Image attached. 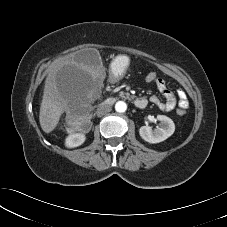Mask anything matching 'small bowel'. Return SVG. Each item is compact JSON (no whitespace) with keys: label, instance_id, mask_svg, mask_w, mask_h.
I'll use <instances>...</instances> for the list:
<instances>
[{"label":"small bowel","instance_id":"obj_1","mask_svg":"<svg viewBox=\"0 0 227 227\" xmlns=\"http://www.w3.org/2000/svg\"><path fill=\"white\" fill-rule=\"evenodd\" d=\"M158 90L164 96L165 101H161L157 96L153 95L150 97V102L156 105L163 111H172L176 105H178L179 109H187L189 106V102L187 96L183 90H178V102L175 98L173 92L168 89L165 81L162 78H159L155 82Z\"/></svg>","mask_w":227,"mask_h":227}]
</instances>
